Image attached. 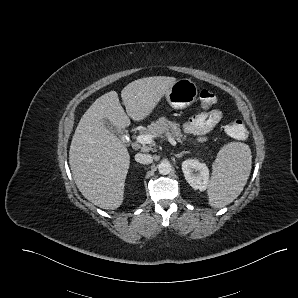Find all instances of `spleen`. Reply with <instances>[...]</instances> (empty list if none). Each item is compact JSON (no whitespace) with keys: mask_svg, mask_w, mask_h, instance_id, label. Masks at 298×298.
Listing matches in <instances>:
<instances>
[{"mask_svg":"<svg viewBox=\"0 0 298 298\" xmlns=\"http://www.w3.org/2000/svg\"><path fill=\"white\" fill-rule=\"evenodd\" d=\"M251 168L249 145L242 142L224 145L213 162L211 178L207 184L209 205L223 208L233 202L243 191Z\"/></svg>","mask_w":298,"mask_h":298,"instance_id":"1","label":"spleen"}]
</instances>
